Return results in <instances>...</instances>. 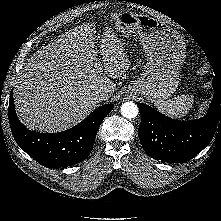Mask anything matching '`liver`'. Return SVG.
Here are the masks:
<instances>
[{"label": "liver", "mask_w": 221, "mask_h": 221, "mask_svg": "<svg viewBox=\"0 0 221 221\" xmlns=\"http://www.w3.org/2000/svg\"><path fill=\"white\" fill-rule=\"evenodd\" d=\"M95 32L93 24L77 26L29 59L14 88L16 113L27 128L66 130L96 108L93 92L103 90L107 99L115 92L111 78L121 77L129 68L124 43L113 30L105 29L98 68Z\"/></svg>", "instance_id": "1"}]
</instances>
